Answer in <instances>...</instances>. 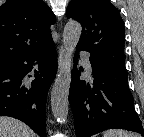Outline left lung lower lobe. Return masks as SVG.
<instances>
[{"instance_id": "1", "label": "left lung lower lobe", "mask_w": 144, "mask_h": 137, "mask_svg": "<svg viewBox=\"0 0 144 137\" xmlns=\"http://www.w3.org/2000/svg\"><path fill=\"white\" fill-rule=\"evenodd\" d=\"M77 47V51H81ZM79 55L74 57V65ZM93 85L79 79L82 69L74 67L69 102L75 121L76 137H90L98 132L119 128L144 136L128 87L127 72L90 57Z\"/></svg>"}]
</instances>
